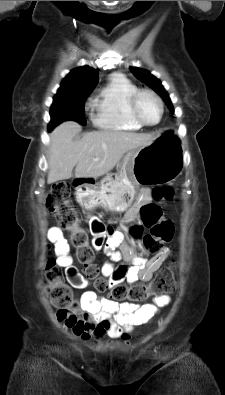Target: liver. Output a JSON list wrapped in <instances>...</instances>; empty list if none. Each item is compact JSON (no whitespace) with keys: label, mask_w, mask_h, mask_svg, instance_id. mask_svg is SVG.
Masks as SVG:
<instances>
[{"label":"liver","mask_w":225,"mask_h":395,"mask_svg":"<svg viewBox=\"0 0 225 395\" xmlns=\"http://www.w3.org/2000/svg\"><path fill=\"white\" fill-rule=\"evenodd\" d=\"M80 131L78 123L67 121L51 132L48 184L70 179L75 166V178L96 179L111 171L125 153L155 140L152 134L104 130L73 141Z\"/></svg>","instance_id":"6515ba94"}]
</instances>
